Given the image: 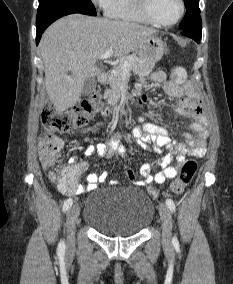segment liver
I'll return each instance as SVG.
<instances>
[{
  "mask_svg": "<svg viewBox=\"0 0 233 284\" xmlns=\"http://www.w3.org/2000/svg\"><path fill=\"white\" fill-rule=\"evenodd\" d=\"M155 33L135 23L82 14L54 22L42 36L40 52L45 88L56 111L61 113L76 104L85 80L100 72L95 66L99 55L112 48L115 57H124Z\"/></svg>",
  "mask_w": 233,
  "mask_h": 284,
  "instance_id": "6515ba94",
  "label": "liver"
}]
</instances>
